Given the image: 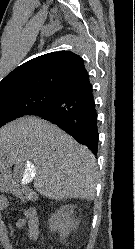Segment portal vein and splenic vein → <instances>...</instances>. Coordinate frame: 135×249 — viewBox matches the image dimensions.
Here are the masks:
<instances>
[{
    "mask_svg": "<svg viewBox=\"0 0 135 249\" xmlns=\"http://www.w3.org/2000/svg\"><path fill=\"white\" fill-rule=\"evenodd\" d=\"M26 173H27L28 177H34L35 176V166L33 164H28Z\"/></svg>",
    "mask_w": 135,
    "mask_h": 249,
    "instance_id": "18ae733b",
    "label": "portal vein and splenic vein"
}]
</instances>
